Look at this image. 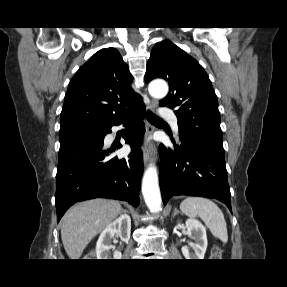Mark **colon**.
Instances as JSON below:
<instances>
[{
    "label": "colon",
    "mask_w": 287,
    "mask_h": 287,
    "mask_svg": "<svg viewBox=\"0 0 287 287\" xmlns=\"http://www.w3.org/2000/svg\"><path fill=\"white\" fill-rule=\"evenodd\" d=\"M211 257L218 259L221 257V249L218 246H214L211 250Z\"/></svg>",
    "instance_id": "colon-1"
}]
</instances>
